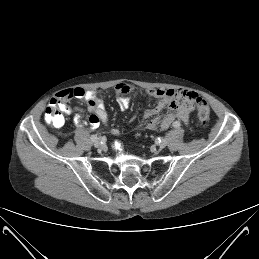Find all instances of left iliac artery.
<instances>
[{"label": "left iliac artery", "instance_id": "1", "mask_svg": "<svg viewBox=\"0 0 259 259\" xmlns=\"http://www.w3.org/2000/svg\"><path fill=\"white\" fill-rule=\"evenodd\" d=\"M173 127L174 128H179L180 127V123L179 122H174L173 123Z\"/></svg>", "mask_w": 259, "mask_h": 259}]
</instances>
